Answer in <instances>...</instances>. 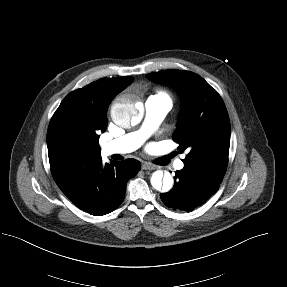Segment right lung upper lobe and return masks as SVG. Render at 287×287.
I'll return each mask as SVG.
<instances>
[{
    "mask_svg": "<svg viewBox=\"0 0 287 287\" xmlns=\"http://www.w3.org/2000/svg\"><path fill=\"white\" fill-rule=\"evenodd\" d=\"M130 76L102 78L69 93L51 118L47 146L52 176L66 195L99 161V133L107 128L113 98L133 82Z\"/></svg>",
    "mask_w": 287,
    "mask_h": 287,
    "instance_id": "1",
    "label": "right lung upper lobe"
}]
</instances>
